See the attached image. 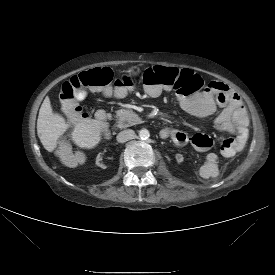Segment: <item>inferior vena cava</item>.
I'll list each match as a JSON object with an SVG mask.
<instances>
[{"instance_id":"obj_1","label":"inferior vena cava","mask_w":275,"mask_h":275,"mask_svg":"<svg viewBox=\"0 0 275 275\" xmlns=\"http://www.w3.org/2000/svg\"><path fill=\"white\" fill-rule=\"evenodd\" d=\"M135 137V132L131 129L123 130L117 135V141L119 143H124L128 140H131Z\"/></svg>"}]
</instances>
